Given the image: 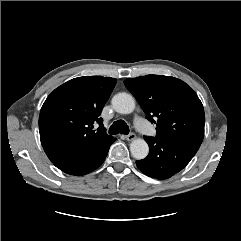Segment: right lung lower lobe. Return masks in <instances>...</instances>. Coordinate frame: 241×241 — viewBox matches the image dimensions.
Instances as JSON below:
<instances>
[{"instance_id":"right-lung-lower-lobe-1","label":"right lung lower lobe","mask_w":241,"mask_h":241,"mask_svg":"<svg viewBox=\"0 0 241 241\" xmlns=\"http://www.w3.org/2000/svg\"><path fill=\"white\" fill-rule=\"evenodd\" d=\"M115 140L111 136L88 150L62 156L52 161V163L70 175L81 176L88 174L104 162L108 150Z\"/></svg>"}]
</instances>
